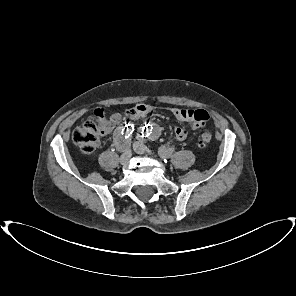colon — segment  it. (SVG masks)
Here are the masks:
<instances>
[{"instance_id": "5ec220e1", "label": "colon", "mask_w": 296, "mask_h": 296, "mask_svg": "<svg viewBox=\"0 0 296 296\" xmlns=\"http://www.w3.org/2000/svg\"><path fill=\"white\" fill-rule=\"evenodd\" d=\"M106 115L102 109L95 111L94 118L85 121L75 128L72 134L73 143L83 154H91L99 145L100 137L106 133ZM212 140V135L208 132L201 134L199 145L204 147Z\"/></svg>"}]
</instances>
